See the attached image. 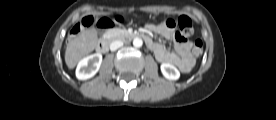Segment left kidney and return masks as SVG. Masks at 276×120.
I'll list each match as a JSON object with an SVG mask.
<instances>
[{"instance_id": "left-kidney-1", "label": "left kidney", "mask_w": 276, "mask_h": 120, "mask_svg": "<svg viewBox=\"0 0 276 120\" xmlns=\"http://www.w3.org/2000/svg\"><path fill=\"white\" fill-rule=\"evenodd\" d=\"M161 72L166 79L177 80L180 77L178 69L170 63L161 64Z\"/></svg>"}]
</instances>
